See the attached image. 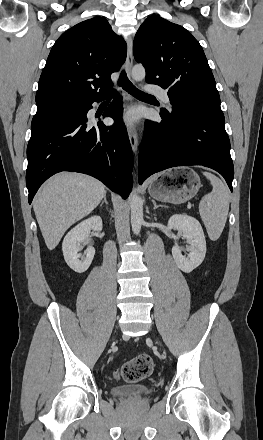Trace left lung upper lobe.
I'll return each instance as SVG.
<instances>
[{
  "mask_svg": "<svg viewBox=\"0 0 263 440\" xmlns=\"http://www.w3.org/2000/svg\"><path fill=\"white\" fill-rule=\"evenodd\" d=\"M133 52L146 69V81L168 89L172 107L220 106L204 51L182 26L159 16L148 17L136 33Z\"/></svg>",
  "mask_w": 263,
  "mask_h": 440,
  "instance_id": "1",
  "label": "left lung upper lobe"
}]
</instances>
